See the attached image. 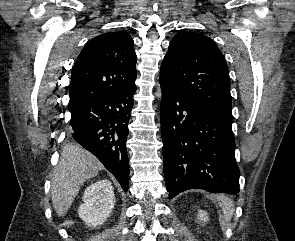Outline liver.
Wrapping results in <instances>:
<instances>
[{"instance_id": "6515ba94", "label": "liver", "mask_w": 295, "mask_h": 241, "mask_svg": "<svg viewBox=\"0 0 295 241\" xmlns=\"http://www.w3.org/2000/svg\"><path fill=\"white\" fill-rule=\"evenodd\" d=\"M104 166L79 145L67 144L51 180V197L58 216H64L84 182L97 176Z\"/></svg>"}]
</instances>
